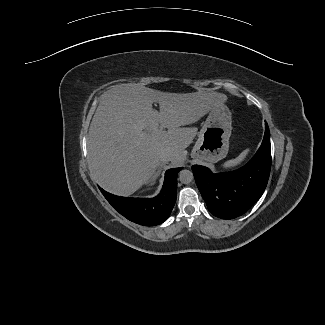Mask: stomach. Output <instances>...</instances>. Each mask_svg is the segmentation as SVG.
<instances>
[{
  "label": "stomach",
  "mask_w": 325,
  "mask_h": 325,
  "mask_svg": "<svg viewBox=\"0 0 325 325\" xmlns=\"http://www.w3.org/2000/svg\"><path fill=\"white\" fill-rule=\"evenodd\" d=\"M232 130V117L223 104L212 108L199 133L191 156L198 162L215 163L226 157Z\"/></svg>",
  "instance_id": "obj_1"
}]
</instances>
